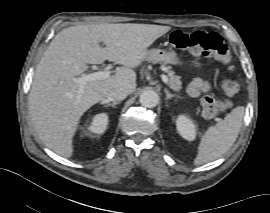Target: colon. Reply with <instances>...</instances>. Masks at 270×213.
Masks as SVG:
<instances>
[{
  "instance_id": "colon-1",
  "label": "colon",
  "mask_w": 270,
  "mask_h": 213,
  "mask_svg": "<svg viewBox=\"0 0 270 213\" xmlns=\"http://www.w3.org/2000/svg\"><path fill=\"white\" fill-rule=\"evenodd\" d=\"M171 43L175 48L187 50L193 56L213 58L227 65L229 70H233V66L230 65V49L224 39L215 32L195 31L185 33L176 31L171 35ZM220 85L227 97L235 96L240 91V85L234 79H223ZM201 103L203 113L206 116L219 115L230 106L228 98L219 99L211 95L203 97Z\"/></svg>"
}]
</instances>
